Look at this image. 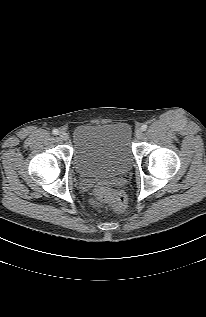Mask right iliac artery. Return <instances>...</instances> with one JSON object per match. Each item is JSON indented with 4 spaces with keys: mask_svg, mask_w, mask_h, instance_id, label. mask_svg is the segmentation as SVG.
<instances>
[{
    "mask_svg": "<svg viewBox=\"0 0 206 317\" xmlns=\"http://www.w3.org/2000/svg\"><path fill=\"white\" fill-rule=\"evenodd\" d=\"M52 133H53L54 135H58V134H59V131H58V129H54V130L52 131Z\"/></svg>",
    "mask_w": 206,
    "mask_h": 317,
    "instance_id": "right-iliac-artery-1",
    "label": "right iliac artery"
}]
</instances>
